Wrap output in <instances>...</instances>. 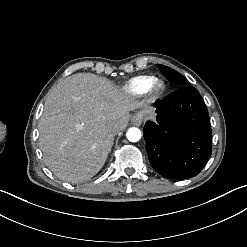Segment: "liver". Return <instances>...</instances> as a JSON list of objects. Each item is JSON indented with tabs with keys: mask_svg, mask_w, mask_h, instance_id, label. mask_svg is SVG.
<instances>
[{
	"mask_svg": "<svg viewBox=\"0 0 247 247\" xmlns=\"http://www.w3.org/2000/svg\"><path fill=\"white\" fill-rule=\"evenodd\" d=\"M140 103L105 77L77 73L48 95L39 120L45 165L59 179L78 183L98 173L113 146L109 128L127 127Z\"/></svg>",
	"mask_w": 247,
	"mask_h": 247,
	"instance_id": "obj_1",
	"label": "liver"
}]
</instances>
